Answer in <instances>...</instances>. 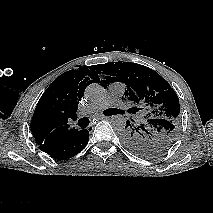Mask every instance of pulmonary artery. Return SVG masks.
<instances>
[{
    "mask_svg": "<svg viewBox=\"0 0 213 213\" xmlns=\"http://www.w3.org/2000/svg\"><path fill=\"white\" fill-rule=\"evenodd\" d=\"M124 91L125 84L121 82L111 83L107 88V92L104 98L85 107L82 115L84 116L95 113L110 106H114L116 108L121 107L123 104L122 96L124 94Z\"/></svg>",
    "mask_w": 213,
    "mask_h": 213,
    "instance_id": "obj_1",
    "label": "pulmonary artery"
}]
</instances>
